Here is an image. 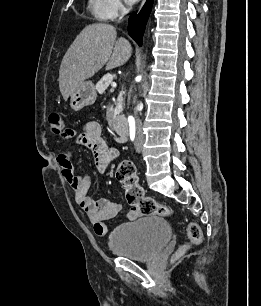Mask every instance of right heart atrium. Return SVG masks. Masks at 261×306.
Returning a JSON list of instances; mask_svg holds the SVG:
<instances>
[{"mask_svg": "<svg viewBox=\"0 0 261 306\" xmlns=\"http://www.w3.org/2000/svg\"><path fill=\"white\" fill-rule=\"evenodd\" d=\"M106 2V18L115 19L123 12V4L121 0H105Z\"/></svg>", "mask_w": 261, "mask_h": 306, "instance_id": "right-heart-atrium-1", "label": "right heart atrium"}]
</instances>
